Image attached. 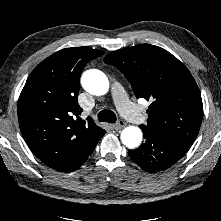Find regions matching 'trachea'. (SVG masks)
Masks as SVG:
<instances>
[{"label":"trachea","instance_id":"obj_1","mask_svg":"<svg viewBox=\"0 0 221 221\" xmlns=\"http://www.w3.org/2000/svg\"><path fill=\"white\" fill-rule=\"evenodd\" d=\"M98 120L101 122L115 123L117 118L113 111L105 109L98 113Z\"/></svg>","mask_w":221,"mask_h":221}]
</instances>
